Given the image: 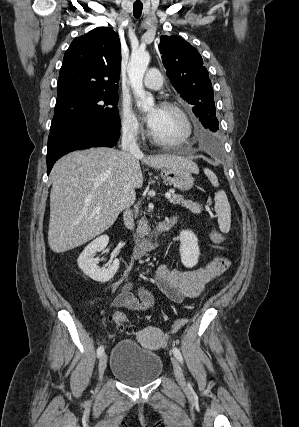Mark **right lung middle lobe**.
<instances>
[{
  "label": "right lung middle lobe",
  "mask_w": 299,
  "mask_h": 427,
  "mask_svg": "<svg viewBox=\"0 0 299 427\" xmlns=\"http://www.w3.org/2000/svg\"><path fill=\"white\" fill-rule=\"evenodd\" d=\"M117 102V91L80 93L56 100L50 130L75 122L121 128Z\"/></svg>",
  "instance_id": "dd1d6c3e"
}]
</instances>
